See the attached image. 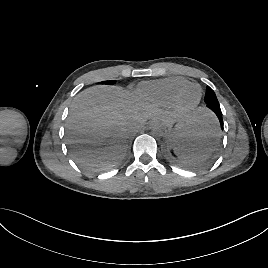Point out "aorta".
<instances>
[{
  "label": "aorta",
  "instance_id": "aorta-1",
  "mask_svg": "<svg viewBox=\"0 0 268 268\" xmlns=\"http://www.w3.org/2000/svg\"><path fill=\"white\" fill-rule=\"evenodd\" d=\"M164 129L162 127H155L151 130V135L155 138H161L162 136H164Z\"/></svg>",
  "mask_w": 268,
  "mask_h": 268
}]
</instances>
